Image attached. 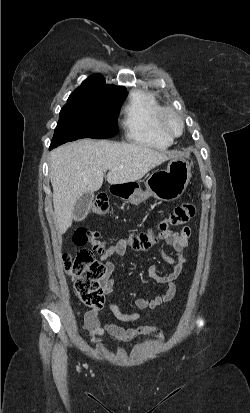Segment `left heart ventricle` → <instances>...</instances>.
Returning <instances> with one entry per match:
<instances>
[{
	"label": "left heart ventricle",
	"mask_w": 250,
	"mask_h": 413,
	"mask_svg": "<svg viewBox=\"0 0 250 413\" xmlns=\"http://www.w3.org/2000/svg\"><path fill=\"white\" fill-rule=\"evenodd\" d=\"M167 125H168V127L171 131H173V132H178L179 131V123L175 118L169 117L167 119Z\"/></svg>",
	"instance_id": "left-heart-ventricle-1"
}]
</instances>
